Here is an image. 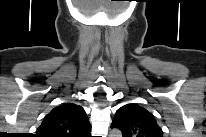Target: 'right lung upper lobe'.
Listing matches in <instances>:
<instances>
[{
    "label": "right lung upper lobe",
    "mask_w": 206,
    "mask_h": 137,
    "mask_svg": "<svg viewBox=\"0 0 206 137\" xmlns=\"http://www.w3.org/2000/svg\"><path fill=\"white\" fill-rule=\"evenodd\" d=\"M91 130L84 109L73 103L55 107L37 129L39 137H88Z\"/></svg>",
    "instance_id": "obj_1"
}]
</instances>
